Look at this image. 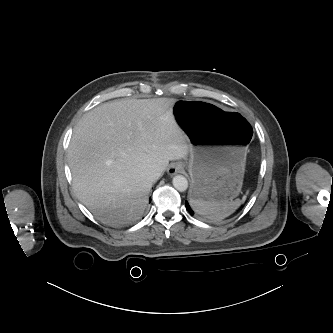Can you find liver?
Here are the masks:
<instances>
[{"label":"liver","instance_id":"liver-1","mask_svg":"<svg viewBox=\"0 0 333 333\" xmlns=\"http://www.w3.org/2000/svg\"><path fill=\"white\" fill-rule=\"evenodd\" d=\"M175 99H122L84 114L68 149L73 188L103 223L141 218L153 182L147 170L163 171L186 159L189 144L177 124Z\"/></svg>","mask_w":333,"mask_h":333}]
</instances>
